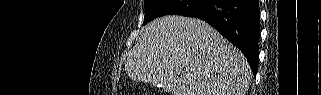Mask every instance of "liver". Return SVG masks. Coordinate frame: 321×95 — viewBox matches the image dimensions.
<instances>
[{"label": "liver", "mask_w": 321, "mask_h": 95, "mask_svg": "<svg viewBox=\"0 0 321 95\" xmlns=\"http://www.w3.org/2000/svg\"><path fill=\"white\" fill-rule=\"evenodd\" d=\"M124 64L130 79L172 95H246L252 80L245 56L219 32L175 15L147 24Z\"/></svg>", "instance_id": "obj_1"}]
</instances>
